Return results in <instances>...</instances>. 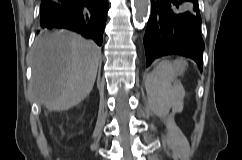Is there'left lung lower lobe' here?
Listing matches in <instances>:
<instances>
[{
	"label": "left lung lower lobe",
	"mask_w": 242,
	"mask_h": 160,
	"mask_svg": "<svg viewBox=\"0 0 242 160\" xmlns=\"http://www.w3.org/2000/svg\"><path fill=\"white\" fill-rule=\"evenodd\" d=\"M198 0H151L144 46L147 66L165 55L193 59L202 70L204 42L201 37Z\"/></svg>",
	"instance_id": "obj_1"
}]
</instances>
